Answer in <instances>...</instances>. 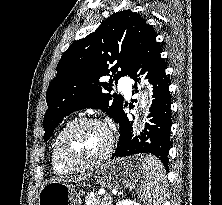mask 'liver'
Segmentation results:
<instances>
[{"label": "liver", "instance_id": "1", "mask_svg": "<svg viewBox=\"0 0 222 205\" xmlns=\"http://www.w3.org/2000/svg\"><path fill=\"white\" fill-rule=\"evenodd\" d=\"M91 174H85L82 176H77V177H71V178H62L61 181L63 182H80V181H85L88 177H90Z\"/></svg>", "mask_w": 222, "mask_h": 205}]
</instances>
